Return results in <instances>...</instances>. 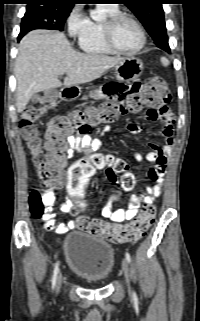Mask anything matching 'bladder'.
I'll use <instances>...</instances> for the list:
<instances>
[{"label": "bladder", "instance_id": "bladder-1", "mask_svg": "<svg viewBox=\"0 0 200 321\" xmlns=\"http://www.w3.org/2000/svg\"><path fill=\"white\" fill-rule=\"evenodd\" d=\"M63 250L71 271L88 282L103 283L113 272V247L92 233L70 232L64 239Z\"/></svg>", "mask_w": 200, "mask_h": 321}]
</instances>
